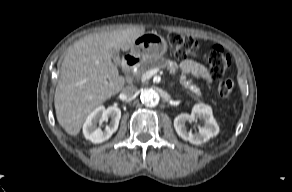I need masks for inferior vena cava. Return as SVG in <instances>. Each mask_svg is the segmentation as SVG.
<instances>
[{
  "label": "inferior vena cava",
  "mask_w": 292,
  "mask_h": 192,
  "mask_svg": "<svg viewBox=\"0 0 292 192\" xmlns=\"http://www.w3.org/2000/svg\"><path fill=\"white\" fill-rule=\"evenodd\" d=\"M138 93V89L137 87L133 86V85H128L126 86L123 91L122 94L124 95L125 98L127 99H132L136 96V94Z\"/></svg>",
  "instance_id": "inferior-vena-cava-1"
}]
</instances>
